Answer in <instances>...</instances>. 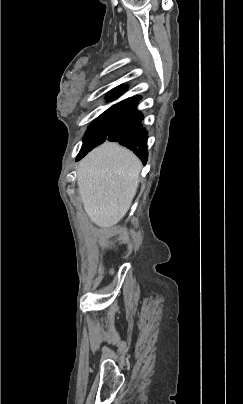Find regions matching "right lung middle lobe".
<instances>
[{
  "mask_svg": "<svg viewBox=\"0 0 243 404\" xmlns=\"http://www.w3.org/2000/svg\"><path fill=\"white\" fill-rule=\"evenodd\" d=\"M127 107L128 105L126 104H116L107 109L91 123L83 138V145L77 155V161L83 158L93 148L106 141L114 123Z\"/></svg>",
  "mask_w": 243,
  "mask_h": 404,
  "instance_id": "dd1d6c3e",
  "label": "right lung middle lobe"
}]
</instances>
